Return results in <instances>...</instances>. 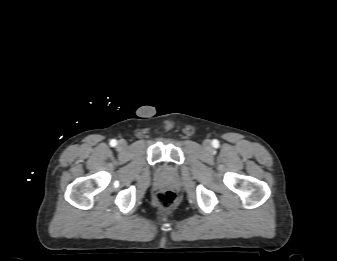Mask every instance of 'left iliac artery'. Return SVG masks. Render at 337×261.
<instances>
[{
  "instance_id": "44dca946",
  "label": "left iliac artery",
  "mask_w": 337,
  "mask_h": 261,
  "mask_svg": "<svg viewBox=\"0 0 337 261\" xmlns=\"http://www.w3.org/2000/svg\"><path fill=\"white\" fill-rule=\"evenodd\" d=\"M213 146H215V147L218 146V141L217 140L213 141Z\"/></svg>"
}]
</instances>
